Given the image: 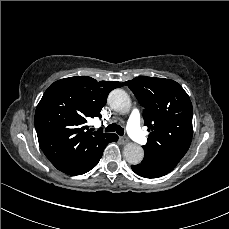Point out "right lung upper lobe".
<instances>
[{"label": "right lung upper lobe", "mask_w": 229, "mask_h": 229, "mask_svg": "<svg viewBox=\"0 0 229 229\" xmlns=\"http://www.w3.org/2000/svg\"><path fill=\"white\" fill-rule=\"evenodd\" d=\"M123 84L88 77L54 82L35 112V128L41 150L60 171L69 174L83 165L109 133L88 130L86 119L101 117L107 96Z\"/></svg>", "instance_id": "cb5924a9"}]
</instances>
